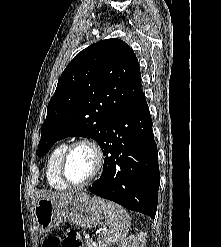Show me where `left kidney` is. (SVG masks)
<instances>
[{"instance_id":"left-kidney-1","label":"left kidney","mask_w":221,"mask_h":247,"mask_svg":"<svg viewBox=\"0 0 221 247\" xmlns=\"http://www.w3.org/2000/svg\"><path fill=\"white\" fill-rule=\"evenodd\" d=\"M146 233L140 232L135 235H130L125 238L117 247H145Z\"/></svg>"}]
</instances>
